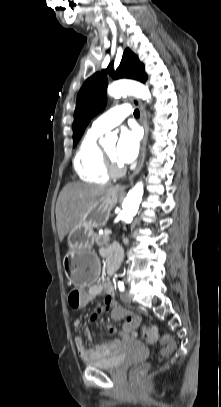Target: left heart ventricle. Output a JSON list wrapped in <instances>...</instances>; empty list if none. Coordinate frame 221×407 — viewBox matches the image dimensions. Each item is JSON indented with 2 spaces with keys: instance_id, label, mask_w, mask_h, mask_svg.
I'll list each match as a JSON object with an SVG mask.
<instances>
[{
  "instance_id": "1",
  "label": "left heart ventricle",
  "mask_w": 221,
  "mask_h": 407,
  "mask_svg": "<svg viewBox=\"0 0 221 407\" xmlns=\"http://www.w3.org/2000/svg\"><path fill=\"white\" fill-rule=\"evenodd\" d=\"M106 154L117 163L116 159V146L112 145L105 150Z\"/></svg>"
}]
</instances>
